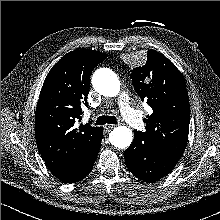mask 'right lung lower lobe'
<instances>
[{
	"label": "right lung lower lobe",
	"mask_w": 220,
	"mask_h": 220,
	"mask_svg": "<svg viewBox=\"0 0 220 220\" xmlns=\"http://www.w3.org/2000/svg\"><path fill=\"white\" fill-rule=\"evenodd\" d=\"M102 138H103V130L101 128L99 137L97 138V140H96V142L94 144L93 151H92L89 159L85 163V165L82 167V169L77 174H75V175H73V176H71L69 178L63 179L62 180L63 182H66V183L78 182V181L82 180L83 178H85L91 172V170L93 168V165H94V162L96 160L98 151H99V149L101 147V140H102Z\"/></svg>",
	"instance_id": "98d812e1"
}]
</instances>
